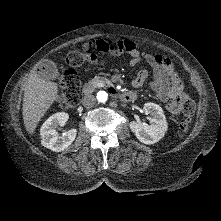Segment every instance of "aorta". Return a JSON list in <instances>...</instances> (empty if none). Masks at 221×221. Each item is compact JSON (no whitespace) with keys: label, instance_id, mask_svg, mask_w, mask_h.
I'll return each instance as SVG.
<instances>
[{"label":"aorta","instance_id":"1","mask_svg":"<svg viewBox=\"0 0 221 221\" xmlns=\"http://www.w3.org/2000/svg\"><path fill=\"white\" fill-rule=\"evenodd\" d=\"M108 99V94L105 91H99L97 93V100L101 103H105Z\"/></svg>","mask_w":221,"mask_h":221}]
</instances>
